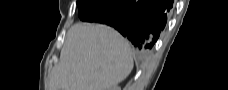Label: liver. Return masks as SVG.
Wrapping results in <instances>:
<instances>
[{
  "label": "liver",
  "instance_id": "liver-1",
  "mask_svg": "<svg viewBox=\"0 0 228 90\" xmlns=\"http://www.w3.org/2000/svg\"><path fill=\"white\" fill-rule=\"evenodd\" d=\"M133 69L129 42L104 25L74 24L60 61L50 75L49 90H109Z\"/></svg>",
  "mask_w": 228,
  "mask_h": 90
}]
</instances>
